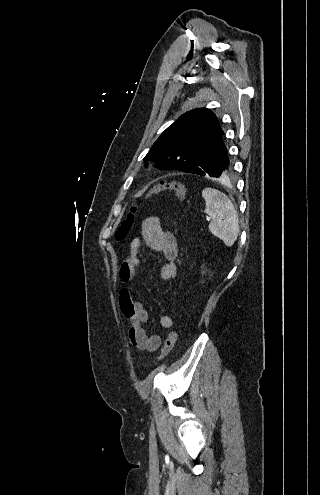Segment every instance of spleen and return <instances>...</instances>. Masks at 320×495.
I'll return each mask as SVG.
<instances>
[{
  "label": "spleen",
  "mask_w": 320,
  "mask_h": 495,
  "mask_svg": "<svg viewBox=\"0 0 320 495\" xmlns=\"http://www.w3.org/2000/svg\"><path fill=\"white\" fill-rule=\"evenodd\" d=\"M202 198L205 213L212 218L209 230L227 247L233 246L239 234V223L231 200L221 191L209 187L202 191Z\"/></svg>",
  "instance_id": "1"
}]
</instances>
